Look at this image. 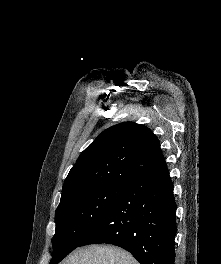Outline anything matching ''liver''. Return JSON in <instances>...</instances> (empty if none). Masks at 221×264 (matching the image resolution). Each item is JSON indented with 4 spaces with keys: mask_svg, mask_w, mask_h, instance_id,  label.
<instances>
[{
    "mask_svg": "<svg viewBox=\"0 0 221 264\" xmlns=\"http://www.w3.org/2000/svg\"><path fill=\"white\" fill-rule=\"evenodd\" d=\"M61 264H139L127 251L110 245L78 249Z\"/></svg>",
    "mask_w": 221,
    "mask_h": 264,
    "instance_id": "liver-1",
    "label": "liver"
}]
</instances>
